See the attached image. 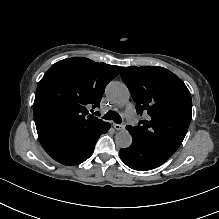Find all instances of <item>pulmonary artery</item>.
<instances>
[{
	"label": "pulmonary artery",
	"mask_w": 219,
	"mask_h": 219,
	"mask_svg": "<svg viewBox=\"0 0 219 219\" xmlns=\"http://www.w3.org/2000/svg\"><path fill=\"white\" fill-rule=\"evenodd\" d=\"M125 116L128 118L129 123L136 124L139 121V116L136 114L135 109L129 104L125 111Z\"/></svg>",
	"instance_id": "obj_1"
}]
</instances>
